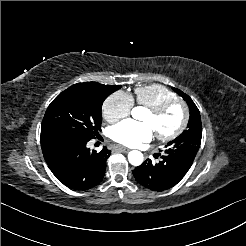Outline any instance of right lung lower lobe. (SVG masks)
<instances>
[{
    "mask_svg": "<svg viewBox=\"0 0 246 246\" xmlns=\"http://www.w3.org/2000/svg\"><path fill=\"white\" fill-rule=\"evenodd\" d=\"M89 140L47 138L41 140L44 159L56 178L70 189L84 191L103 178L111 151H90Z\"/></svg>",
    "mask_w": 246,
    "mask_h": 246,
    "instance_id": "obj_1",
    "label": "right lung lower lobe"
}]
</instances>
